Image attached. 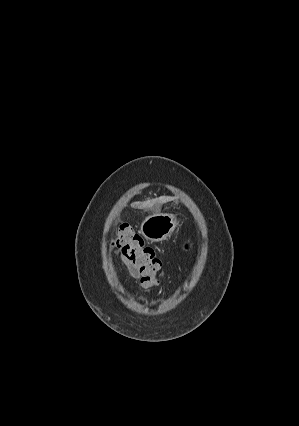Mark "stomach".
Wrapping results in <instances>:
<instances>
[{
    "label": "stomach",
    "instance_id": "0dacf381",
    "mask_svg": "<svg viewBox=\"0 0 299 426\" xmlns=\"http://www.w3.org/2000/svg\"><path fill=\"white\" fill-rule=\"evenodd\" d=\"M178 224L179 221L176 215L157 212L143 220L140 226V233L151 242H159L170 237L178 227Z\"/></svg>",
    "mask_w": 299,
    "mask_h": 426
}]
</instances>
